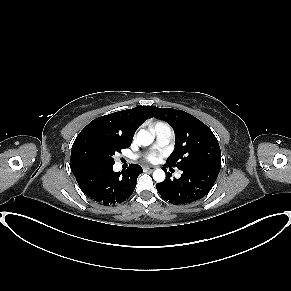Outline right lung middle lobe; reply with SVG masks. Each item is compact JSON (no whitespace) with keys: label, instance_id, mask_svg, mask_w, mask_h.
Segmentation results:
<instances>
[{"label":"right lung middle lobe","instance_id":"dd1d6c3e","mask_svg":"<svg viewBox=\"0 0 291 291\" xmlns=\"http://www.w3.org/2000/svg\"><path fill=\"white\" fill-rule=\"evenodd\" d=\"M130 141L104 135L90 134L84 137L71 152V165L80 171L113 167V156L128 148Z\"/></svg>","mask_w":291,"mask_h":291}]
</instances>
